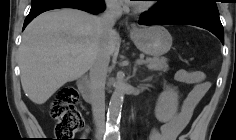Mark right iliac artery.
Here are the masks:
<instances>
[{"instance_id": "obj_1", "label": "right iliac artery", "mask_w": 236, "mask_h": 140, "mask_svg": "<svg viewBox=\"0 0 236 140\" xmlns=\"http://www.w3.org/2000/svg\"><path fill=\"white\" fill-rule=\"evenodd\" d=\"M110 137H104L103 140H110Z\"/></svg>"}]
</instances>
